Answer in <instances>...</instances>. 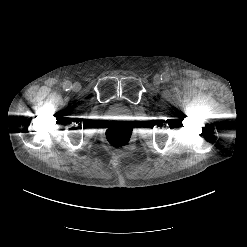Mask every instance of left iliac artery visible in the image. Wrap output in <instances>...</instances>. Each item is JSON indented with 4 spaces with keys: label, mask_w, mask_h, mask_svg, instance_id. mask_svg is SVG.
<instances>
[{
    "label": "left iliac artery",
    "mask_w": 247,
    "mask_h": 247,
    "mask_svg": "<svg viewBox=\"0 0 247 247\" xmlns=\"http://www.w3.org/2000/svg\"><path fill=\"white\" fill-rule=\"evenodd\" d=\"M161 79L163 80V81H168L169 80V76L167 75V74H163L162 76H161Z\"/></svg>",
    "instance_id": "1"
}]
</instances>
